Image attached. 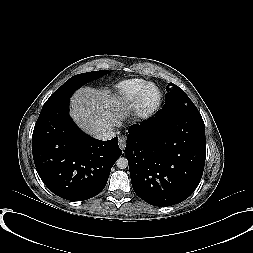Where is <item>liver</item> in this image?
Wrapping results in <instances>:
<instances>
[{"mask_svg": "<svg viewBox=\"0 0 253 253\" xmlns=\"http://www.w3.org/2000/svg\"><path fill=\"white\" fill-rule=\"evenodd\" d=\"M70 115L77 125L95 136L103 130L121 127L130 106L108 89L84 87L71 98Z\"/></svg>", "mask_w": 253, "mask_h": 253, "instance_id": "1", "label": "liver"}]
</instances>
